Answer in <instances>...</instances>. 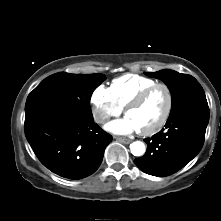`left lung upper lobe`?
Instances as JSON below:
<instances>
[{"instance_id": "5c2ea615", "label": "left lung upper lobe", "mask_w": 221, "mask_h": 221, "mask_svg": "<svg viewBox=\"0 0 221 221\" xmlns=\"http://www.w3.org/2000/svg\"><path fill=\"white\" fill-rule=\"evenodd\" d=\"M145 74L162 80L168 86L172 95L171 112L187 101L205 97L203 88L191 75L181 74L173 70L145 72Z\"/></svg>"}]
</instances>
